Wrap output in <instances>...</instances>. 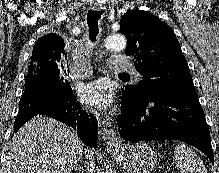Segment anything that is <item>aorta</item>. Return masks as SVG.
<instances>
[{
	"label": "aorta",
	"instance_id": "obj_1",
	"mask_svg": "<svg viewBox=\"0 0 219 173\" xmlns=\"http://www.w3.org/2000/svg\"><path fill=\"white\" fill-rule=\"evenodd\" d=\"M127 40L124 35L114 34L106 37L103 47L110 51H122L126 48Z\"/></svg>",
	"mask_w": 219,
	"mask_h": 173
}]
</instances>
